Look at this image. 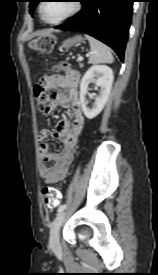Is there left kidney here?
I'll return each mask as SVG.
<instances>
[{"label": "left kidney", "instance_id": "5707ae66", "mask_svg": "<svg viewBox=\"0 0 158 275\" xmlns=\"http://www.w3.org/2000/svg\"><path fill=\"white\" fill-rule=\"evenodd\" d=\"M113 79V71L107 65H93L84 74L80 83V103L84 115L88 119L95 118L103 110L110 95ZM91 82H95L96 86L100 88V92L95 98L93 107L89 108L86 94L88 91V85Z\"/></svg>", "mask_w": 158, "mask_h": 275}]
</instances>
